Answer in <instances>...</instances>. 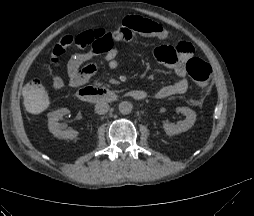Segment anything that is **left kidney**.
<instances>
[{
  "instance_id": "5707ae66",
  "label": "left kidney",
  "mask_w": 254,
  "mask_h": 216,
  "mask_svg": "<svg viewBox=\"0 0 254 216\" xmlns=\"http://www.w3.org/2000/svg\"><path fill=\"white\" fill-rule=\"evenodd\" d=\"M177 112L182 113L186 118L177 124L164 123L163 128L167 135H177L189 130L196 121V113L188 107H178Z\"/></svg>"
}]
</instances>
